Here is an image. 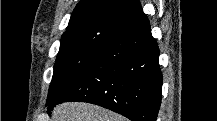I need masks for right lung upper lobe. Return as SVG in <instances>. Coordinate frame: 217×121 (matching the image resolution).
Instances as JSON below:
<instances>
[{"label": "right lung upper lobe", "mask_w": 217, "mask_h": 121, "mask_svg": "<svg viewBox=\"0 0 217 121\" xmlns=\"http://www.w3.org/2000/svg\"><path fill=\"white\" fill-rule=\"evenodd\" d=\"M141 13L143 9L138 0H81L71 14L66 31L99 20H114L127 24Z\"/></svg>", "instance_id": "1"}]
</instances>
